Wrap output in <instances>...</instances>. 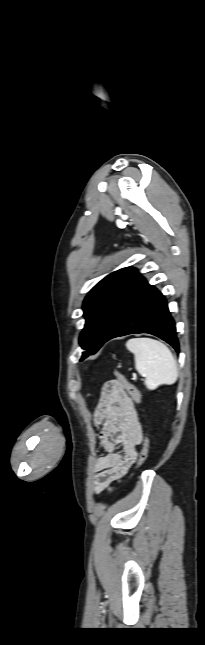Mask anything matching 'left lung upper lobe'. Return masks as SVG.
<instances>
[{
  "instance_id": "5c2ea615",
  "label": "left lung upper lobe",
  "mask_w": 205,
  "mask_h": 645,
  "mask_svg": "<svg viewBox=\"0 0 205 645\" xmlns=\"http://www.w3.org/2000/svg\"><path fill=\"white\" fill-rule=\"evenodd\" d=\"M132 270V267H127L109 274L86 296L83 303L86 323L79 343L82 349L87 352H83L81 360L89 354H94L102 346L109 327L113 305Z\"/></svg>"
}]
</instances>
